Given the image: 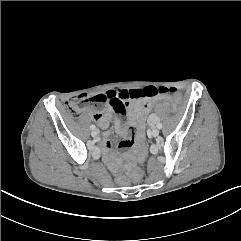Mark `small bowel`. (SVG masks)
Here are the masks:
<instances>
[{"instance_id":"small-bowel-1","label":"small bowel","mask_w":241,"mask_h":241,"mask_svg":"<svg viewBox=\"0 0 241 241\" xmlns=\"http://www.w3.org/2000/svg\"><path fill=\"white\" fill-rule=\"evenodd\" d=\"M137 90H138V95L135 98L128 99L126 101V105H125V112H126V108L128 106L127 122L130 127L127 129L125 122L121 118H117L115 120L116 131L123 137V140H121L116 145L108 138L109 134L105 133L104 137L101 141V146H102V150H103V158H104L105 162L112 169L116 168V162H115V158H114L112 150L116 147L117 148H128V147H131L135 143V140L138 135V131H137L136 127L139 130L143 129L145 115L151 109V103L149 101H146V99L152 98L157 94V89L154 86H149L147 88L143 87V88L137 89ZM108 92H106V93H108ZM134 99H137V100L132 103H128L129 100H134ZM108 105H109V107H107L103 112H98V113H90L89 112V114L92 116V118L102 128L108 127L109 122H110V111H111V109L115 110L114 106H112L110 104H108Z\"/></svg>"}]
</instances>
